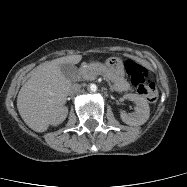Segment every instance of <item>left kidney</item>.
Wrapping results in <instances>:
<instances>
[{
  "mask_svg": "<svg viewBox=\"0 0 187 187\" xmlns=\"http://www.w3.org/2000/svg\"><path fill=\"white\" fill-rule=\"evenodd\" d=\"M124 98L135 102L136 108L133 113H121L122 121L134 126L144 124L148 120L150 112L147 100L137 94H126Z\"/></svg>",
  "mask_w": 187,
  "mask_h": 187,
  "instance_id": "1",
  "label": "left kidney"
}]
</instances>
